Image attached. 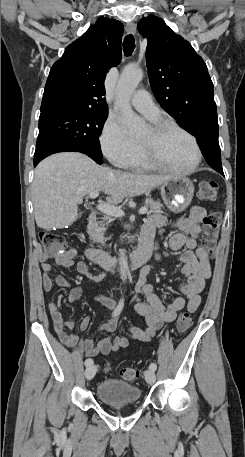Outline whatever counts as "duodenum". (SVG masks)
Instances as JSON below:
<instances>
[{
  "instance_id": "obj_1",
  "label": "duodenum",
  "mask_w": 245,
  "mask_h": 457,
  "mask_svg": "<svg viewBox=\"0 0 245 457\" xmlns=\"http://www.w3.org/2000/svg\"><path fill=\"white\" fill-rule=\"evenodd\" d=\"M97 223L96 214H89L86 218V224L89 228H93ZM152 251L147 247H140L134 254L129 256L126 261L131 268L143 266L151 257ZM89 259L95 264L105 268L113 269L120 263V259L108 254L99 249H90L88 252Z\"/></svg>"
}]
</instances>
